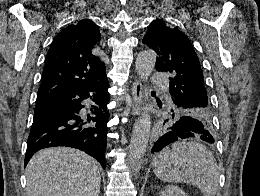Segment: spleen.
I'll return each mask as SVG.
<instances>
[{
    "label": "spleen",
    "instance_id": "3e777b00",
    "mask_svg": "<svg viewBox=\"0 0 260 196\" xmlns=\"http://www.w3.org/2000/svg\"><path fill=\"white\" fill-rule=\"evenodd\" d=\"M153 172L162 182L192 184L203 196H216L219 168L210 150L198 142H175L153 162Z\"/></svg>",
    "mask_w": 260,
    "mask_h": 196
}]
</instances>
